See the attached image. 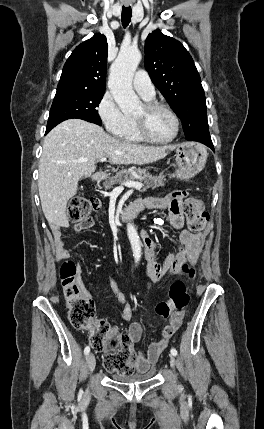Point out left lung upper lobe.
<instances>
[{
  "mask_svg": "<svg viewBox=\"0 0 264 429\" xmlns=\"http://www.w3.org/2000/svg\"><path fill=\"white\" fill-rule=\"evenodd\" d=\"M144 64L154 85L181 119L186 139L210 138L201 79L184 46L155 30L145 42Z\"/></svg>",
  "mask_w": 264,
  "mask_h": 429,
  "instance_id": "1",
  "label": "left lung upper lobe"
}]
</instances>
